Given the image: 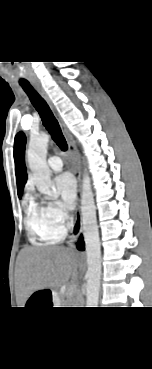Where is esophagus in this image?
<instances>
[{"instance_id": "obj_1", "label": "esophagus", "mask_w": 152, "mask_h": 369, "mask_svg": "<svg viewBox=\"0 0 152 369\" xmlns=\"http://www.w3.org/2000/svg\"><path fill=\"white\" fill-rule=\"evenodd\" d=\"M36 88L38 89V91L40 92L41 96L46 100V102L48 103V105L50 106L54 116L56 117L62 133L66 139L67 145H68V151L69 154L71 156L74 168H75V174H76V178L78 181V185H79V194H80V177H81V173H80V166H79V161L77 158V154L75 151V147L73 146V143L69 137V133L68 130L66 128L65 123L63 122L62 118L60 117L59 113L57 112L55 106L53 105V103L51 102V100L49 99L48 95L45 93V91L40 87L39 84H35ZM82 232V216H81V210H80V206L78 205L76 212H75V219H74V223L73 226L71 228V232H70V240L68 242V245L71 248L75 247V242L78 240L80 234Z\"/></svg>"}]
</instances>
